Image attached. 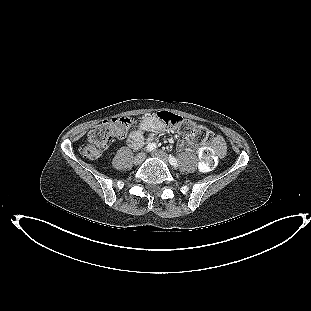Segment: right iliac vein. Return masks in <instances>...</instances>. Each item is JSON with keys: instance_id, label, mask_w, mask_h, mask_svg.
<instances>
[{"instance_id": "right-iliac-vein-1", "label": "right iliac vein", "mask_w": 311, "mask_h": 311, "mask_svg": "<svg viewBox=\"0 0 311 311\" xmlns=\"http://www.w3.org/2000/svg\"><path fill=\"white\" fill-rule=\"evenodd\" d=\"M145 159V153H139L137 154L134 159H133V162L134 164H141Z\"/></svg>"}]
</instances>
